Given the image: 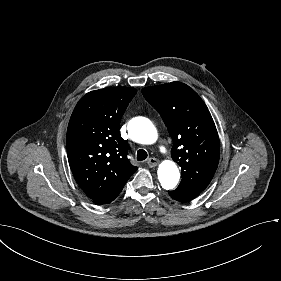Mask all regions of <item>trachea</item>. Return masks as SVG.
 Wrapping results in <instances>:
<instances>
[{
	"mask_svg": "<svg viewBox=\"0 0 281 281\" xmlns=\"http://www.w3.org/2000/svg\"><path fill=\"white\" fill-rule=\"evenodd\" d=\"M147 157H148V154L145 150L139 149L137 151V160L138 161H144L145 159H147Z\"/></svg>",
	"mask_w": 281,
	"mask_h": 281,
	"instance_id": "trachea-1",
	"label": "trachea"
}]
</instances>
